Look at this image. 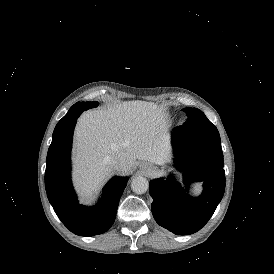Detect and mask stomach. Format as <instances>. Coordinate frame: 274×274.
I'll return each instance as SVG.
<instances>
[{"mask_svg": "<svg viewBox=\"0 0 274 274\" xmlns=\"http://www.w3.org/2000/svg\"><path fill=\"white\" fill-rule=\"evenodd\" d=\"M160 172H161V170H160L158 167L152 166V171H151L150 176L157 175V174H159Z\"/></svg>", "mask_w": 274, "mask_h": 274, "instance_id": "0dacf381", "label": "stomach"}]
</instances>
